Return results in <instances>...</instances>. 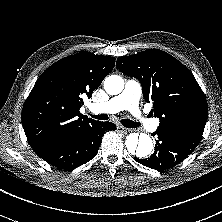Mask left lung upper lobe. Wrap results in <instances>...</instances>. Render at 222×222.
<instances>
[{"mask_svg":"<svg viewBox=\"0 0 222 222\" xmlns=\"http://www.w3.org/2000/svg\"><path fill=\"white\" fill-rule=\"evenodd\" d=\"M116 68L139 79L143 96L153 101L152 114L160 123L204 129L208 105L193 74L173 56L149 49L117 59Z\"/></svg>","mask_w":222,"mask_h":222,"instance_id":"left-lung-upper-lobe-1","label":"left lung upper lobe"}]
</instances>
